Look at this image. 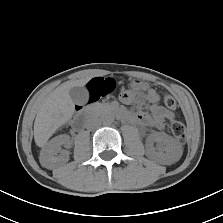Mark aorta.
Instances as JSON below:
<instances>
[{"label":"aorta","mask_w":223,"mask_h":223,"mask_svg":"<svg viewBox=\"0 0 223 223\" xmlns=\"http://www.w3.org/2000/svg\"><path fill=\"white\" fill-rule=\"evenodd\" d=\"M114 115L112 113H104L102 116H101V120L103 122V124L105 125H110L114 122Z\"/></svg>","instance_id":"1"}]
</instances>
